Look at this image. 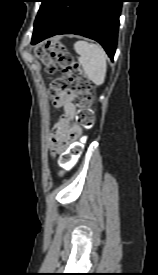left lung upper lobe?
Returning <instances> with one entry per match:
<instances>
[{
    "instance_id": "5c2ea615",
    "label": "left lung upper lobe",
    "mask_w": 158,
    "mask_h": 275,
    "mask_svg": "<svg viewBox=\"0 0 158 275\" xmlns=\"http://www.w3.org/2000/svg\"><path fill=\"white\" fill-rule=\"evenodd\" d=\"M51 1L52 0H42V5L40 7V10L38 12V15L34 23V29L37 28L42 23L45 9L47 8V6L50 4Z\"/></svg>"
}]
</instances>
